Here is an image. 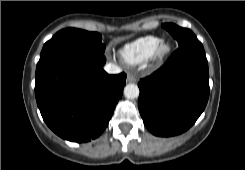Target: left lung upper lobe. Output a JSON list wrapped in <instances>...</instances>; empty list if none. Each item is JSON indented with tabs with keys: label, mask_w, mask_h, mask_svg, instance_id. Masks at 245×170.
Wrapping results in <instances>:
<instances>
[{
	"label": "left lung upper lobe",
	"mask_w": 245,
	"mask_h": 170,
	"mask_svg": "<svg viewBox=\"0 0 245 170\" xmlns=\"http://www.w3.org/2000/svg\"><path fill=\"white\" fill-rule=\"evenodd\" d=\"M172 36L178 41L180 47H189L198 50H204L203 45L194 35V33L186 28H181L173 23L162 24Z\"/></svg>",
	"instance_id": "left-lung-upper-lobe-1"
}]
</instances>
